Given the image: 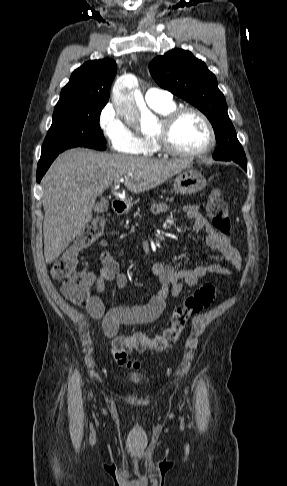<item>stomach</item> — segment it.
Here are the masks:
<instances>
[{"label":"stomach","mask_w":287,"mask_h":486,"mask_svg":"<svg viewBox=\"0 0 287 486\" xmlns=\"http://www.w3.org/2000/svg\"><path fill=\"white\" fill-rule=\"evenodd\" d=\"M207 186L204 176L195 169H186L179 173L174 179V189L182 195H191L201 191ZM132 206L131 202L126 204L127 210Z\"/></svg>","instance_id":"obj_1"}]
</instances>
